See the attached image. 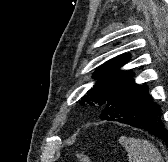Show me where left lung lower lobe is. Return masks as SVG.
<instances>
[{
    "instance_id": "left-lung-lower-lobe-1",
    "label": "left lung lower lobe",
    "mask_w": 168,
    "mask_h": 162,
    "mask_svg": "<svg viewBox=\"0 0 168 162\" xmlns=\"http://www.w3.org/2000/svg\"><path fill=\"white\" fill-rule=\"evenodd\" d=\"M161 115V107L153 102L148 87L135 84L132 77L109 96L100 118L145 130L168 147V130Z\"/></svg>"
}]
</instances>
